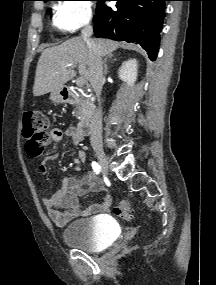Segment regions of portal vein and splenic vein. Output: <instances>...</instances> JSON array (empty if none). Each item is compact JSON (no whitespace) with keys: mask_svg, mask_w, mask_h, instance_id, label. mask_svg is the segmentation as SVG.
<instances>
[{"mask_svg":"<svg viewBox=\"0 0 216 285\" xmlns=\"http://www.w3.org/2000/svg\"><path fill=\"white\" fill-rule=\"evenodd\" d=\"M67 67H75V65H73V64H69ZM76 84L78 85V86H83L84 84H85V78L84 77H79V78H77V81H76Z\"/></svg>","mask_w":216,"mask_h":285,"instance_id":"portal-vein-and-splenic-vein-1","label":"portal vein and splenic vein"}]
</instances>
